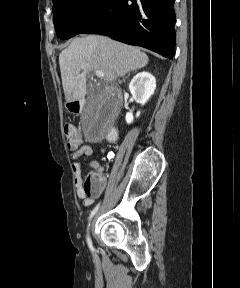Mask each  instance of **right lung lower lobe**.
Masks as SVG:
<instances>
[{"label": "right lung lower lobe", "mask_w": 240, "mask_h": 288, "mask_svg": "<svg viewBox=\"0 0 240 288\" xmlns=\"http://www.w3.org/2000/svg\"><path fill=\"white\" fill-rule=\"evenodd\" d=\"M175 0H111L81 33H98L173 59Z\"/></svg>", "instance_id": "right-lung-lower-lobe-1"}]
</instances>
